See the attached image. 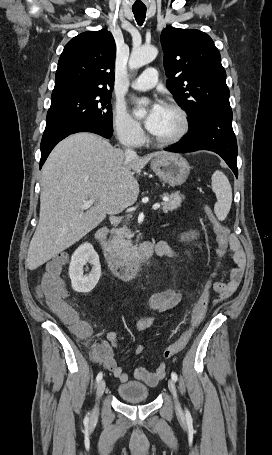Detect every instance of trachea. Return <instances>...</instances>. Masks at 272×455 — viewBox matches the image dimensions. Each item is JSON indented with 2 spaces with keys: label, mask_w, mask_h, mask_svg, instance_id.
Masks as SVG:
<instances>
[{
  "label": "trachea",
  "mask_w": 272,
  "mask_h": 455,
  "mask_svg": "<svg viewBox=\"0 0 272 455\" xmlns=\"http://www.w3.org/2000/svg\"><path fill=\"white\" fill-rule=\"evenodd\" d=\"M132 11L134 13L138 25L141 26L145 21L146 7H132Z\"/></svg>",
  "instance_id": "3493384b"
}]
</instances>
